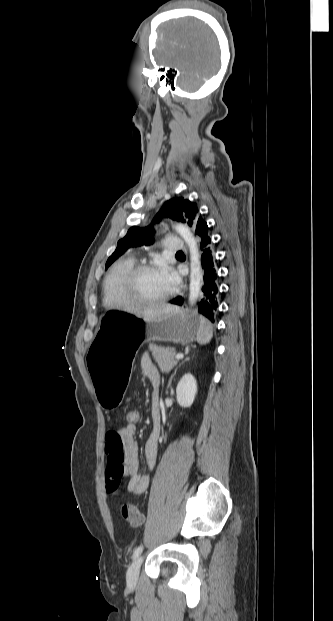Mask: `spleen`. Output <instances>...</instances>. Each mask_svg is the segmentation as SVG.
Instances as JSON below:
<instances>
[{
    "mask_svg": "<svg viewBox=\"0 0 333 621\" xmlns=\"http://www.w3.org/2000/svg\"><path fill=\"white\" fill-rule=\"evenodd\" d=\"M213 337V329L211 323L204 317H199V327L197 332V342L200 345H205L210 342Z\"/></svg>",
    "mask_w": 333,
    "mask_h": 621,
    "instance_id": "1",
    "label": "spleen"
}]
</instances>
